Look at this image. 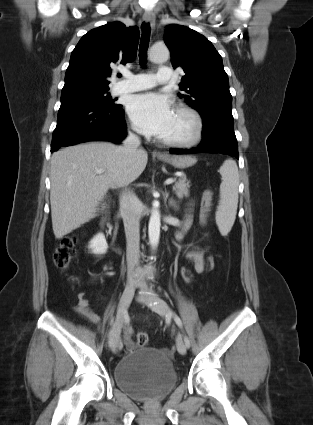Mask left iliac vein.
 <instances>
[{
  "label": "left iliac vein",
  "mask_w": 313,
  "mask_h": 425,
  "mask_svg": "<svg viewBox=\"0 0 313 425\" xmlns=\"http://www.w3.org/2000/svg\"><path fill=\"white\" fill-rule=\"evenodd\" d=\"M139 286L142 289H147L146 284L145 283H140ZM147 304L149 305V307L156 313H158L161 316H168L169 315V307L167 305V303L157 297H151L150 299H148ZM176 346H177V350L180 354L184 355L186 354L187 351V347L185 345V343L183 342L181 337L177 338L176 341Z\"/></svg>",
  "instance_id": "left-iliac-vein-1"
}]
</instances>
